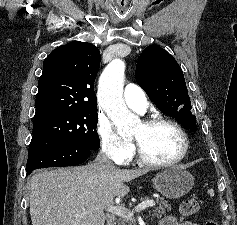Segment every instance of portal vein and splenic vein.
Returning a JSON list of instances; mask_svg holds the SVG:
<instances>
[{
	"mask_svg": "<svg viewBox=\"0 0 237 225\" xmlns=\"http://www.w3.org/2000/svg\"><path fill=\"white\" fill-rule=\"evenodd\" d=\"M155 206V202L153 200H145L135 206V208L131 211L123 206H109L107 207V212L118 215L122 218H132L135 212H141L148 207Z\"/></svg>",
	"mask_w": 237,
	"mask_h": 225,
	"instance_id": "18ae733b",
	"label": "portal vein and splenic vein"
}]
</instances>
